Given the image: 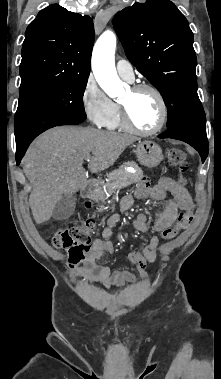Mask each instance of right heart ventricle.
<instances>
[{
    "mask_svg": "<svg viewBox=\"0 0 221 379\" xmlns=\"http://www.w3.org/2000/svg\"><path fill=\"white\" fill-rule=\"evenodd\" d=\"M104 126L109 129H116L122 126L118 104L114 103V110Z\"/></svg>",
    "mask_w": 221,
    "mask_h": 379,
    "instance_id": "1",
    "label": "right heart ventricle"
}]
</instances>
